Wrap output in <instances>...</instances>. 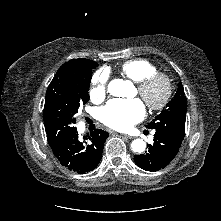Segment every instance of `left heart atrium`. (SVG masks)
I'll use <instances>...</instances> for the list:
<instances>
[{
	"mask_svg": "<svg viewBox=\"0 0 221 221\" xmlns=\"http://www.w3.org/2000/svg\"><path fill=\"white\" fill-rule=\"evenodd\" d=\"M145 108L139 99L110 101L100 110V120L108 127L125 131L141 121Z\"/></svg>",
	"mask_w": 221,
	"mask_h": 221,
	"instance_id": "obj_1",
	"label": "left heart atrium"
}]
</instances>
